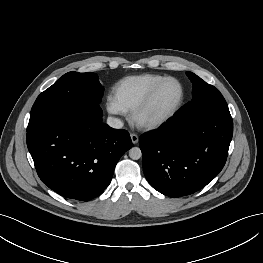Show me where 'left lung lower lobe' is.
<instances>
[{
	"label": "left lung lower lobe",
	"instance_id": "obj_1",
	"mask_svg": "<svg viewBox=\"0 0 263 263\" xmlns=\"http://www.w3.org/2000/svg\"><path fill=\"white\" fill-rule=\"evenodd\" d=\"M232 135L230 114L210 115L186 125L175 114L139 139L145 177L164 195H190L220 173Z\"/></svg>",
	"mask_w": 263,
	"mask_h": 263
}]
</instances>
